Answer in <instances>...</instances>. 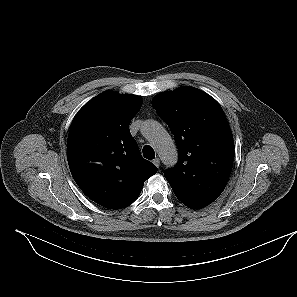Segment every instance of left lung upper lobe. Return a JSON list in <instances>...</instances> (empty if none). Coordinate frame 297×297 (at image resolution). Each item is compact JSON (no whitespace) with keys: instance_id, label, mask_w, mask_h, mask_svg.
<instances>
[{"instance_id":"left-lung-upper-lobe-1","label":"left lung upper lobe","mask_w":297,"mask_h":297,"mask_svg":"<svg viewBox=\"0 0 297 297\" xmlns=\"http://www.w3.org/2000/svg\"><path fill=\"white\" fill-rule=\"evenodd\" d=\"M152 106L170 127L179 153L165 178L184 205L206 207L225 189L234 160V140L220 104L183 86L156 95Z\"/></svg>"}]
</instances>
